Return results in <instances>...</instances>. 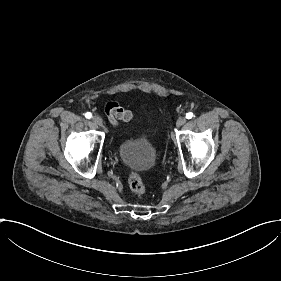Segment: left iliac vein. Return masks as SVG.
Segmentation results:
<instances>
[{"label":"left iliac vein","instance_id":"obj_1","mask_svg":"<svg viewBox=\"0 0 281 281\" xmlns=\"http://www.w3.org/2000/svg\"><path fill=\"white\" fill-rule=\"evenodd\" d=\"M186 119L183 116L178 117L177 121H176V126H181L183 124H185ZM178 128V127H177Z\"/></svg>","mask_w":281,"mask_h":281}]
</instances>
